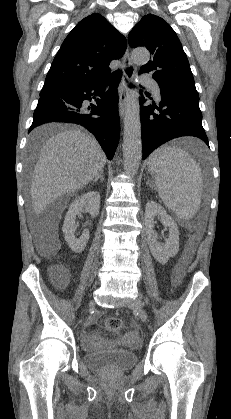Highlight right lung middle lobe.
<instances>
[{"label":"right lung middle lobe","instance_id":"dd1d6c3e","mask_svg":"<svg viewBox=\"0 0 231 419\" xmlns=\"http://www.w3.org/2000/svg\"><path fill=\"white\" fill-rule=\"evenodd\" d=\"M65 88H67V87H62V86L43 87L41 92H40V97L45 95V94H48V93H51V92H54V91H59V90L65 89ZM38 142H39V140L32 141V148H35L36 146H38Z\"/></svg>","mask_w":231,"mask_h":419}]
</instances>
